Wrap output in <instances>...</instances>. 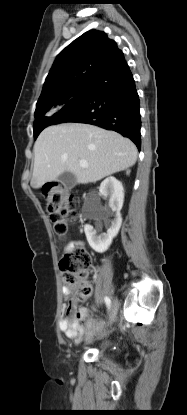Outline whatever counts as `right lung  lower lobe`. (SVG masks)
Masks as SVG:
<instances>
[{
  "label": "right lung lower lobe",
  "mask_w": 187,
  "mask_h": 415,
  "mask_svg": "<svg viewBox=\"0 0 187 415\" xmlns=\"http://www.w3.org/2000/svg\"><path fill=\"white\" fill-rule=\"evenodd\" d=\"M139 107L135 81L122 53L88 81L83 93L53 116L52 124L78 122L114 130L140 150Z\"/></svg>",
  "instance_id": "obj_1"
}]
</instances>
